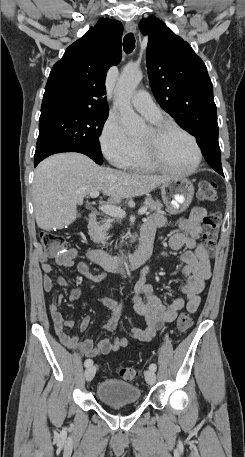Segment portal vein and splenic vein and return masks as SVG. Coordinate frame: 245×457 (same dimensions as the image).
Listing matches in <instances>:
<instances>
[{
    "instance_id": "portal-vein-and-splenic-vein-1",
    "label": "portal vein and splenic vein",
    "mask_w": 245,
    "mask_h": 457,
    "mask_svg": "<svg viewBox=\"0 0 245 457\" xmlns=\"http://www.w3.org/2000/svg\"><path fill=\"white\" fill-rule=\"evenodd\" d=\"M90 196H92V198H96V196H99V190H92V192H90ZM99 208L102 212H105V214H110V216H118V218H124V216H126L125 210L120 208V206H114V204H101ZM144 212H147L146 206L139 208L138 214H144Z\"/></svg>"
}]
</instances>
